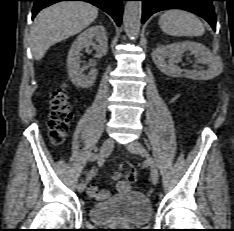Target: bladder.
<instances>
[{"instance_id": "bladder-1", "label": "bladder", "mask_w": 234, "mask_h": 231, "mask_svg": "<svg viewBox=\"0 0 234 231\" xmlns=\"http://www.w3.org/2000/svg\"><path fill=\"white\" fill-rule=\"evenodd\" d=\"M90 219L100 225H144L152 216V204L141 192H128L92 205L88 209Z\"/></svg>"}]
</instances>
